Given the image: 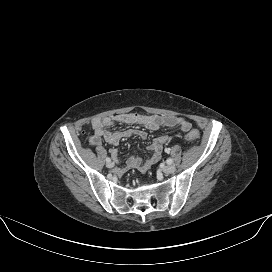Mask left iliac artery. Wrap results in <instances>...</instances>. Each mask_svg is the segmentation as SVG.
<instances>
[{"mask_svg":"<svg viewBox=\"0 0 272 272\" xmlns=\"http://www.w3.org/2000/svg\"><path fill=\"white\" fill-rule=\"evenodd\" d=\"M165 152H166V153H170V148H166V149H165ZM166 162H167V164H172V163H173V160H172L171 158H168Z\"/></svg>","mask_w":272,"mask_h":272,"instance_id":"1","label":"left iliac artery"}]
</instances>
